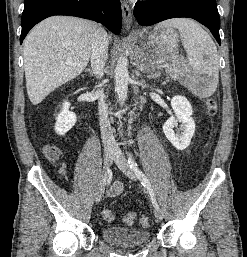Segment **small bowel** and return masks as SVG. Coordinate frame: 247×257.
Instances as JSON below:
<instances>
[{"label": "small bowel", "instance_id": "c3829d8e", "mask_svg": "<svg viewBox=\"0 0 247 257\" xmlns=\"http://www.w3.org/2000/svg\"><path fill=\"white\" fill-rule=\"evenodd\" d=\"M57 151H58L57 157H55L53 159H49V160H51L52 162H55V163H57L59 161V150L57 149ZM62 173L65 174V169L64 168H62ZM121 190H122V184L120 182H116L110 188V190L108 192V196L109 197H115V196L120 194Z\"/></svg>", "mask_w": 247, "mask_h": 257}]
</instances>
